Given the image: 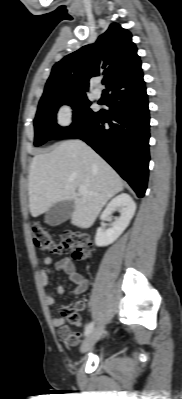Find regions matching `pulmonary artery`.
Listing matches in <instances>:
<instances>
[{
    "label": "pulmonary artery",
    "mask_w": 182,
    "mask_h": 399,
    "mask_svg": "<svg viewBox=\"0 0 182 399\" xmlns=\"http://www.w3.org/2000/svg\"><path fill=\"white\" fill-rule=\"evenodd\" d=\"M94 95L96 98H100L102 96V90L100 89V87L95 88Z\"/></svg>",
    "instance_id": "obj_1"
}]
</instances>
